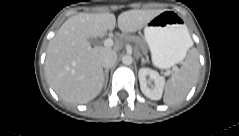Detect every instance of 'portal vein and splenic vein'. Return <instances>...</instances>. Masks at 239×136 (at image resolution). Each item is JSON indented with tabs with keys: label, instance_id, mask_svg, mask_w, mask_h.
I'll use <instances>...</instances> for the list:
<instances>
[{
	"label": "portal vein and splenic vein",
	"instance_id": "1",
	"mask_svg": "<svg viewBox=\"0 0 239 136\" xmlns=\"http://www.w3.org/2000/svg\"><path fill=\"white\" fill-rule=\"evenodd\" d=\"M113 44H114V41L111 38H107V39L104 40V46L105 47H111V46H113Z\"/></svg>",
	"mask_w": 239,
	"mask_h": 136
}]
</instances>
